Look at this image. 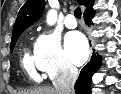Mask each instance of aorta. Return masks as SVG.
Listing matches in <instances>:
<instances>
[{
    "label": "aorta",
    "mask_w": 121,
    "mask_h": 94,
    "mask_svg": "<svg viewBox=\"0 0 121 94\" xmlns=\"http://www.w3.org/2000/svg\"><path fill=\"white\" fill-rule=\"evenodd\" d=\"M57 20V13L54 10H50L46 16V22L48 25H54Z\"/></svg>",
    "instance_id": "aorta-1"
}]
</instances>
